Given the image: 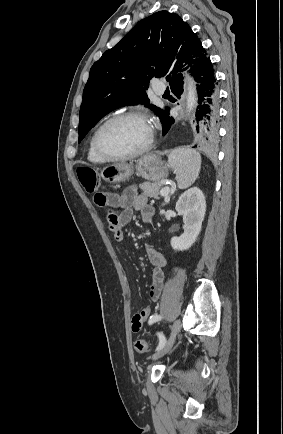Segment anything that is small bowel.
Segmentation results:
<instances>
[{"label": "small bowel", "instance_id": "small-bowel-1", "mask_svg": "<svg viewBox=\"0 0 283 434\" xmlns=\"http://www.w3.org/2000/svg\"><path fill=\"white\" fill-rule=\"evenodd\" d=\"M94 202L97 206L107 209L106 222L117 242L123 240V229L132 219L134 211H139L145 222H150L154 214V210L152 206L148 204L147 199L143 195L138 194L134 187L125 189L122 194L108 192L96 193ZM115 209H120V211L116 212ZM146 254L148 260L154 266L150 298L152 301H157L164 288V268L166 267L167 261L163 254L151 247L146 248ZM150 315L151 309L149 307H145L138 312L132 318V331L139 332Z\"/></svg>", "mask_w": 283, "mask_h": 434}]
</instances>
